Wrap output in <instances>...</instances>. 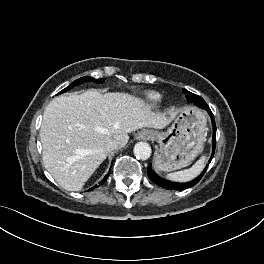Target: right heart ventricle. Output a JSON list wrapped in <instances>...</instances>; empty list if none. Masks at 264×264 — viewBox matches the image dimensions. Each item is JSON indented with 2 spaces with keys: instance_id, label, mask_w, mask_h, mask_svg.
<instances>
[{
  "instance_id": "obj_1",
  "label": "right heart ventricle",
  "mask_w": 264,
  "mask_h": 264,
  "mask_svg": "<svg viewBox=\"0 0 264 264\" xmlns=\"http://www.w3.org/2000/svg\"><path fill=\"white\" fill-rule=\"evenodd\" d=\"M143 100L146 104L148 105H155L159 102L160 100V95L156 92H146L144 95H143Z\"/></svg>"
}]
</instances>
